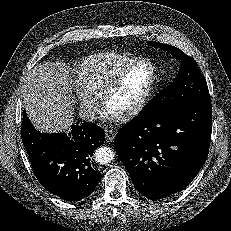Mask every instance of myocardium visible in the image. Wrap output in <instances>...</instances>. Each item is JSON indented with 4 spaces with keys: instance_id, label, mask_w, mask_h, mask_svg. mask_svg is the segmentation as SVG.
I'll return each instance as SVG.
<instances>
[{
    "instance_id": "obj_1",
    "label": "myocardium",
    "mask_w": 231,
    "mask_h": 231,
    "mask_svg": "<svg viewBox=\"0 0 231 231\" xmlns=\"http://www.w3.org/2000/svg\"><path fill=\"white\" fill-rule=\"evenodd\" d=\"M140 65H148L151 69L152 76L147 89L144 91L141 97L130 107L117 112L110 111L108 108L110 98L122 87L128 75ZM157 80V69L153 62L146 58H139L138 60L134 61L129 66L124 68L115 78H113L110 82L106 84L100 96L103 111L116 120H127L133 117L143 109V107L151 98L156 89Z\"/></svg>"
}]
</instances>
